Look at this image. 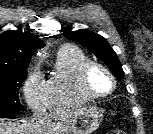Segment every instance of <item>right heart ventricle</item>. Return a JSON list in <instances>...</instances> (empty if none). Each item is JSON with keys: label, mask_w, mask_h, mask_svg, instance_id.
<instances>
[{"label": "right heart ventricle", "mask_w": 153, "mask_h": 134, "mask_svg": "<svg viewBox=\"0 0 153 134\" xmlns=\"http://www.w3.org/2000/svg\"><path fill=\"white\" fill-rule=\"evenodd\" d=\"M88 61V56L77 47L64 46L58 51L54 71L45 81L48 108L73 107L91 101L81 92L78 83L79 71Z\"/></svg>", "instance_id": "1"}]
</instances>
